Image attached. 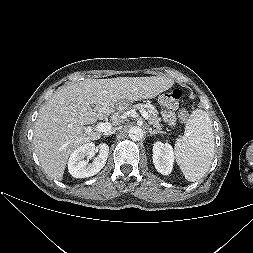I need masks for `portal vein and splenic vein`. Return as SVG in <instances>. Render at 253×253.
I'll return each mask as SVG.
<instances>
[{"mask_svg":"<svg viewBox=\"0 0 253 253\" xmlns=\"http://www.w3.org/2000/svg\"><path fill=\"white\" fill-rule=\"evenodd\" d=\"M141 115L143 116L144 119H148L149 115L145 110H141L140 111ZM111 123L108 122H100L99 124H97L96 127H91L88 126L86 129L87 131L91 132V131H98V132H108L111 130Z\"/></svg>","mask_w":253,"mask_h":253,"instance_id":"1","label":"portal vein and splenic vein"}]
</instances>
